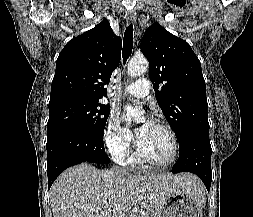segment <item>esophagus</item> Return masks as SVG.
I'll return each instance as SVG.
<instances>
[{
	"mask_svg": "<svg viewBox=\"0 0 253 217\" xmlns=\"http://www.w3.org/2000/svg\"><path fill=\"white\" fill-rule=\"evenodd\" d=\"M127 23H132L135 21V13L133 11H130L126 15Z\"/></svg>",
	"mask_w": 253,
	"mask_h": 217,
	"instance_id": "1",
	"label": "esophagus"
}]
</instances>
